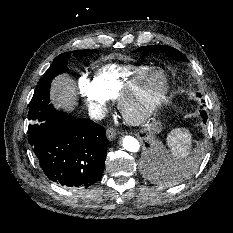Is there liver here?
<instances>
[{
  "mask_svg": "<svg viewBox=\"0 0 233 233\" xmlns=\"http://www.w3.org/2000/svg\"><path fill=\"white\" fill-rule=\"evenodd\" d=\"M51 101L54 107L71 111L76 105V84L68 74L59 75L51 83Z\"/></svg>",
  "mask_w": 233,
  "mask_h": 233,
  "instance_id": "6515ba94",
  "label": "liver"
}]
</instances>
